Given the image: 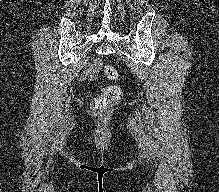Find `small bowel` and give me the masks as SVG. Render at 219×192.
<instances>
[{
	"instance_id": "1",
	"label": "small bowel",
	"mask_w": 219,
	"mask_h": 192,
	"mask_svg": "<svg viewBox=\"0 0 219 192\" xmlns=\"http://www.w3.org/2000/svg\"><path fill=\"white\" fill-rule=\"evenodd\" d=\"M101 67L100 60H94L85 68L84 77L88 79H96L98 76V71Z\"/></svg>"
}]
</instances>
